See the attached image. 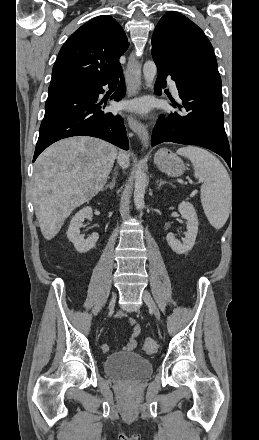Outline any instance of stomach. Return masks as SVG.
<instances>
[{"mask_svg": "<svg viewBox=\"0 0 259 440\" xmlns=\"http://www.w3.org/2000/svg\"><path fill=\"white\" fill-rule=\"evenodd\" d=\"M154 164L163 173L171 176H181L185 171V164L181 158L166 148H161L154 156Z\"/></svg>", "mask_w": 259, "mask_h": 440, "instance_id": "obj_1", "label": "stomach"}]
</instances>
